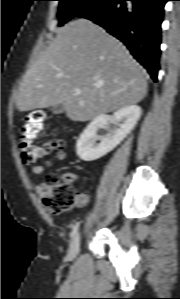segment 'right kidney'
Wrapping results in <instances>:
<instances>
[{
  "label": "right kidney",
  "mask_w": 180,
  "mask_h": 299,
  "mask_svg": "<svg viewBox=\"0 0 180 299\" xmlns=\"http://www.w3.org/2000/svg\"><path fill=\"white\" fill-rule=\"evenodd\" d=\"M141 114L139 106L129 105L117 110L112 117L105 114L97 116L80 135L76 144L77 155L83 161H94L106 155L131 132ZM109 122L122 124L112 134L98 137V129L105 127ZM97 140H100L99 144H96Z\"/></svg>",
  "instance_id": "ca27d5eb"
}]
</instances>
